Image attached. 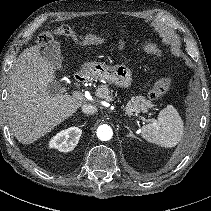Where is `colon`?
Listing matches in <instances>:
<instances>
[{
  "instance_id": "1",
  "label": "colon",
  "mask_w": 211,
  "mask_h": 211,
  "mask_svg": "<svg viewBox=\"0 0 211 211\" xmlns=\"http://www.w3.org/2000/svg\"><path fill=\"white\" fill-rule=\"evenodd\" d=\"M54 35L69 37L77 42L81 41V39L77 36V34L71 27L63 25L54 29L53 31H46L41 33L37 39V44L41 47L49 44L53 40ZM148 48L152 50L154 53H159L158 50L153 47H148ZM172 85H173V79L170 77H164L159 79L155 83L153 88L150 90L148 94L149 98L152 100L161 98L170 90Z\"/></svg>"
}]
</instances>
